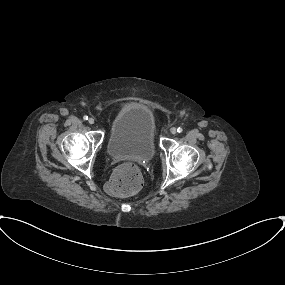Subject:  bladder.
I'll use <instances>...</instances> for the list:
<instances>
[{
    "label": "bladder",
    "instance_id": "bladder-1",
    "mask_svg": "<svg viewBox=\"0 0 285 285\" xmlns=\"http://www.w3.org/2000/svg\"><path fill=\"white\" fill-rule=\"evenodd\" d=\"M107 151L114 158H153L156 151L155 128L144 105H129L112 123Z\"/></svg>",
    "mask_w": 285,
    "mask_h": 285
}]
</instances>
